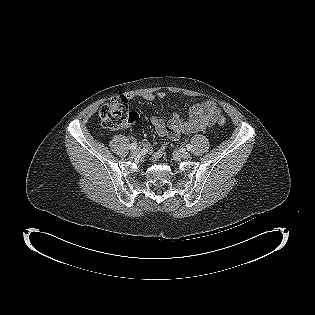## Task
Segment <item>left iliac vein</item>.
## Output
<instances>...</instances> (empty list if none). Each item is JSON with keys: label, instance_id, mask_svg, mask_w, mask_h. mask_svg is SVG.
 <instances>
[{"label": "left iliac vein", "instance_id": "obj_1", "mask_svg": "<svg viewBox=\"0 0 315 315\" xmlns=\"http://www.w3.org/2000/svg\"><path fill=\"white\" fill-rule=\"evenodd\" d=\"M176 154L181 159H188L191 156L190 153L186 151H177Z\"/></svg>", "mask_w": 315, "mask_h": 315}]
</instances>
